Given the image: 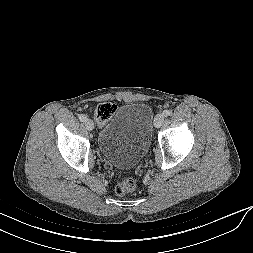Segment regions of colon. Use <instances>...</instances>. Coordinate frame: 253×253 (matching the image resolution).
I'll list each match as a JSON object with an SVG mask.
<instances>
[{
    "instance_id": "5ec220e1",
    "label": "colon",
    "mask_w": 253,
    "mask_h": 253,
    "mask_svg": "<svg viewBox=\"0 0 253 253\" xmlns=\"http://www.w3.org/2000/svg\"><path fill=\"white\" fill-rule=\"evenodd\" d=\"M115 111V105L109 102L98 105L94 111L95 118L98 122L104 123ZM135 189V182L132 179H124L115 186L117 195L123 196Z\"/></svg>"
}]
</instances>
